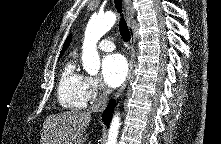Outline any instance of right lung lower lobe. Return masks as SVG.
I'll use <instances>...</instances> for the list:
<instances>
[{"label":"right lung lower lobe","mask_w":221,"mask_h":144,"mask_svg":"<svg viewBox=\"0 0 221 144\" xmlns=\"http://www.w3.org/2000/svg\"><path fill=\"white\" fill-rule=\"evenodd\" d=\"M115 101L111 100L108 104V107L103 113V121L106 123L107 126H109L111 118H112V112L114 110Z\"/></svg>","instance_id":"right-lung-lower-lobe-1"}]
</instances>
